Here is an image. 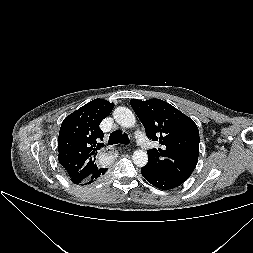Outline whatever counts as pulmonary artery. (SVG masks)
<instances>
[{"mask_svg":"<svg viewBox=\"0 0 253 253\" xmlns=\"http://www.w3.org/2000/svg\"><path fill=\"white\" fill-rule=\"evenodd\" d=\"M135 138L144 149H148L150 147V141L141 130L136 131Z\"/></svg>","mask_w":253,"mask_h":253,"instance_id":"e3ab8cb5","label":"pulmonary artery"}]
</instances>
